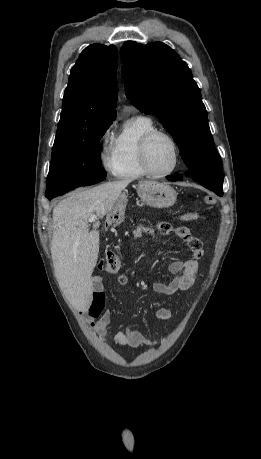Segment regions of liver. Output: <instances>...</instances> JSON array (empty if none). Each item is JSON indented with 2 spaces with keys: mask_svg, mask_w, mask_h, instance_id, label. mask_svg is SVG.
<instances>
[{
  "mask_svg": "<svg viewBox=\"0 0 261 459\" xmlns=\"http://www.w3.org/2000/svg\"><path fill=\"white\" fill-rule=\"evenodd\" d=\"M128 184V180H121L76 190L53 209L51 254L55 275L77 310L86 311L91 305L92 273L99 254V223L89 231L88 218L105 216Z\"/></svg>",
  "mask_w": 261,
  "mask_h": 459,
  "instance_id": "6515ba94",
  "label": "liver"
}]
</instances>
